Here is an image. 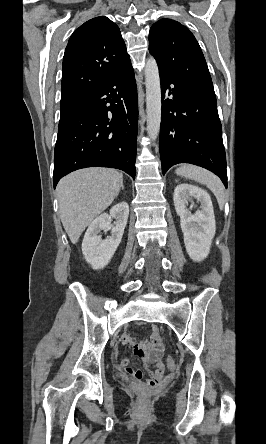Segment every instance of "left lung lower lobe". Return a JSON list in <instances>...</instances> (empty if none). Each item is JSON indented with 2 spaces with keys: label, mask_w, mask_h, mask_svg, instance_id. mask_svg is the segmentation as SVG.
I'll use <instances>...</instances> for the list:
<instances>
[{
  "label": "left lung lower lobe",
  "mask_w": 266,
  "mask_h": 444,
  "mask_svg": "<svg viewBox=\"0 0 266 444\" xmlns=\"http://www.w3.org/2000/svg\"><path fill=\"white\" fill-rule=\"evenodd\" d=\"M159 74L163 174L175 164L190 163L215 173L227 188L226 155L212 82L182 80L160 68Z\"/></svg>",
  "instance_id": "0a47b994"
}]
</instances>
